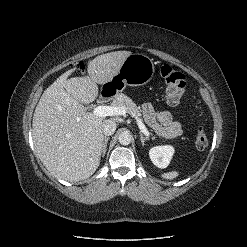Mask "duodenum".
Segmentation results:
<instances>
[{"mask_svg": "<svg viewBox=\"0 0 247 247\" xmlns=\"http://www.w3.org/2000/svg\"><path fill=\"white\" fill-rule=\"evenodd\" d=\"M109 96H110V93L109 92H103L101 94V96L99 97V102L100 103L105 102L108 99Z\"/></svg>", "mask_w": 247, "mask_h": 247, "instance_id": "obj_1", "label": "duodenum"}]
</instances>
